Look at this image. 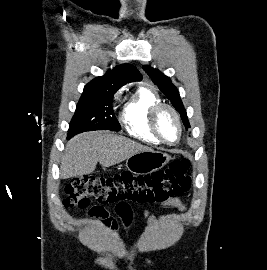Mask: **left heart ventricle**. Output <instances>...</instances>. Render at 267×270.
<instances>
[{
    "label": "left heart ventricle",
    "instance_id": "obj_1",
    "mask_svg": "<svg viewBox=\"0 0 267 270\" xmlns=\"http://www.w3.org/2000/svg\"><path fill=\"white\" fill-rule=\"evenodd\" d=\"M158 126L162 136L168 142H175L178 139L179 129L173 114L168 110H163L158 118Z\"/></svg>",
    "mask_w": 267,
    "mask_h": 270
}]
</instances>
